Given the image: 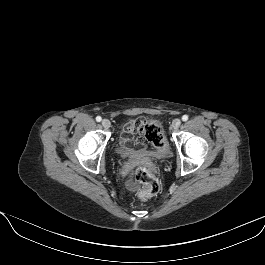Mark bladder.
<instances>
[{"label":"bladder","mask_w":265,"mask_h":265,"mask_svg":"<svg viewBox=\"0 0 265 265\" xmlns=\"http://www.w3.org/2000/svg\"><path fill=\"white\" fill-rule=\"evenodd\" d=\"M124 145L123 143L120 141L119 145H118V151L122 154L126 153L125 148L123 149Z\"/></svg>","instance_id":"1"}]
</instances>
